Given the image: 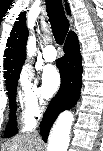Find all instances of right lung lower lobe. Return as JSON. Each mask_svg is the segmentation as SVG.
Wrapping results in <instances>:
<instances>
[{"label":"right lung lower lobe","instance_id":"98d812e1","mask_svg":"<svg viewBox=\"0 0 103 151\" xmlns=\"http://www.w3.org/2000/svg\"><path fill=\"white\" fill-rule=\"evenodd\" d=\"M64 52V57L58 63L61 75V86L57 95L48 105L40 125V133L45 142L47 141L51 126L59 113L73 107L80 96L82 85V57L76 35L66 39Z\"/></svg>","mask_w":103,"mask_h":151}]
</instances>
